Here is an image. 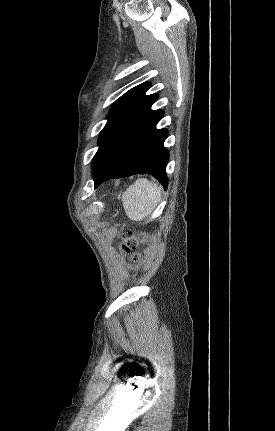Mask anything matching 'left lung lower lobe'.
<instances>
[{
    "label": "left lung lower lobe",
    "instance_id": "obj_1",
    "mask_svg": "<svg viewBox=\"0 0 275 431\" xmlns=\"http://www.w3.org/2000/svg\"><path fill=\"white\" fill-rule=\"evenodd\" d=\"M161 110L117 155L112 164L103 172L94 175L95 188L111 178L134 174H151L167 189L166 165L169 153L163 143L167 137L166 129H156L163 117Z\"/></svg>",
    "mask_w": 275,
    "mask_h": 431
}]
</instances>
